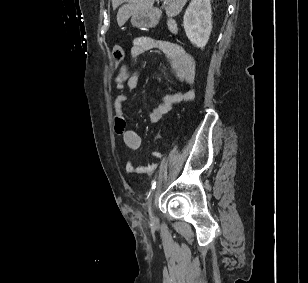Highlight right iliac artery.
Returning a JSON list of instances; mask_svg holds the SVG:
<instances>
[{"instance_id":"1","label":"right iliac artery","mask_w":308,"mask_h":283,"mask_svg":"<svg viewBox=\"0 0 308 283\" xmlns=\"http://www.w3.org/2000/svg\"><path fill=\"white\" fill-rule=\"evenodd\" d=\"M155 185H156V179L152 181V187H151V191L149 192V194H151V192L155 189Z\"/></svg>"}]
</instances>
